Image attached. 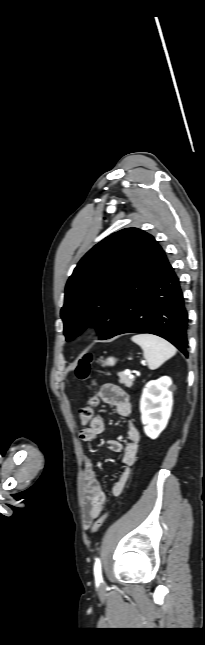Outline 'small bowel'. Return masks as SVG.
I'll return each instance as SVG.
<instances>
[{
	"instance_id": "obj_1",
	"label": "small bowel",
	"mask_w": 205,
	"mask_h": 645,
	"mask_svg": "<svg viewBox=\"0 0 205 645\" xmlns=\"http://www.w3.org/2000/svg\"><path fill=\"white\" fill-rule=\"evenodd\" d=\"M99 398L110 405H113L119 416L127 418L131 413V403L126 392L114 384L102 385ZM98 399V398H97ZM99 401V399H98ZM105 428L101 416L95 415L89 427L80 431L79 436L83 442L94 441ZM127 441L125 444L118 440H108V449L113 452L122 453L121 471L111 487L113 496H120L125 488L130 475V467L136 462L140 441V434L136 426L129 422L127 424ZM84 496L82 505V520L86 528L90 527L93 520L98 518L105 509L107 497L97 479L94 469V459L90 455L84 460Z\"/></svg>"
}]
</instances>
